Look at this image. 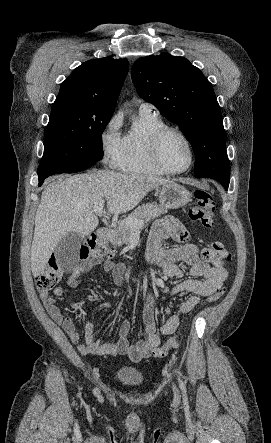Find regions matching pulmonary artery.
Returning a JSON list of instances; mask_svg holds the SVG:
<instances>
[{
	"instance_id": "obj_1",
	"label": "pulmonary artery",
	"mask_w": 271,
	"mask_h": 443,
	"mask_svg": "<svg viewBox=\"0 0 271 443\" xmlns=\"http://www.w3.org/2000/svg\"><path fill=\"white\" fill-rule=\"evenodd\" d=\"M139 112L158 114L156 107L149 102H142L139 106Z\"/></svg>"
}]
</instances>
